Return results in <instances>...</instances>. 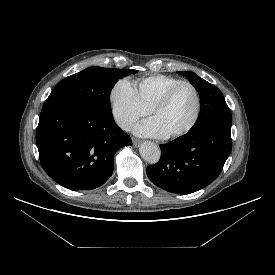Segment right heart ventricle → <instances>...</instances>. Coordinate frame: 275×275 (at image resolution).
Returning a JSON list of instances; mask_svg holds the SVG:
<instances>
[{
	"label": "right heart ventricle",
	"mask_w": 275,
	"mask_h": 275,
	"mask_svg": "<svg viewBox=\"0 0 275 275\" xmlns=\"http://www.w3.org/2000/svg\"><path fill=\"white\" fill-rule=\"evenodd\" d=\"M180 82H182L180 79L172 76L152 75L140 79L137 82L136 89L143 105L151 110L168 89Z\"/></svg>",
	"instance_id": "1"
}]
</instances>
